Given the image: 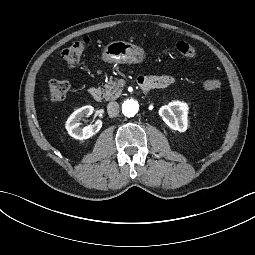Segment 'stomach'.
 Wrapping results in <instances>:
<instances>
[{
  "label": "stomach",
  "instance_id": "stomach-1",
  "mask_svg": "<svg viewBox=\"0 0 255 255\" xmlns=\"http://www.w3.org/2000/svg\"><path fill=\"white\" fill-rule=\"evenodd\" d=\"M145 59L143 48L125 41L109 43L102 52V60L108 63L132 64Z\"/></svg>",
  "mask_w": 255,
  "mask_h": 255
}]
</instances>
